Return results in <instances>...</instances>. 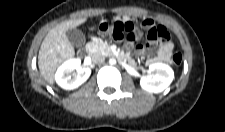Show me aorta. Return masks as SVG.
Returning a JSON list of instances; mask_svg holds the SVG:
<instances>
[{"label": "aorta", "instance_id": "762f6f07", "mask_svg": "<svg viewBox=\"0 0 225 132\" xmlns=\"http://www.w3.org/2000/svg\"><path fill=\"white\" fill-rule=\"evenodd\" d=\"M109 63H110L111 65H114V64H116V60H115V59H110Z\"/></svg>", "mask_w": 225, "mask_h": 132}]
</instances>
